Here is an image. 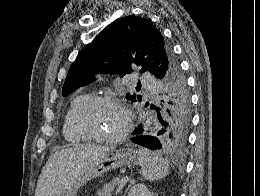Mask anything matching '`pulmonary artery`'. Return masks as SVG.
<instances>
[{"instance_id": "pulmonary-artery-1", "label": "pulmonary artery", "mask_w": 260, "mask_h": 196, "mask_svg": "<svg viewBox=\"0 0 260 196\" xmlns=\"http://www.w3.org/2000/svg\"><path fill=\"white\" fill-rule=\"evenodd\" d=\"M140 81H142V84H155V79H151L147 72L141 73Z\"/></svg>"}]
</instances>
